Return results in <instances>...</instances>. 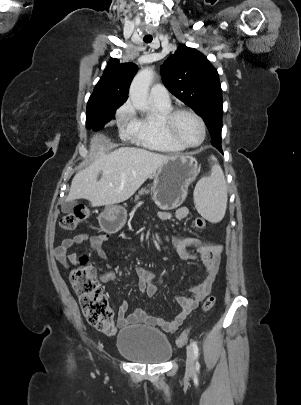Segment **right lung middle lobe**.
<instances>
[{
	"label": "right lung middle lobe",
	"instance_id": "obj_1",
	"mask_svg": "<svg viewBox=\"0 0 301 405\" xmlns=\"http://www.w3.org/2000/svg\"><path fill=\"white\" fill-rule=\"evenodd\" d=\"M117 108H109L99 103L87 105L86 127L88 129L99 130L106 123L115 118Z\"/></svg>",
	"mask_w": 301,
	"mask_h": 405
}]
</instances>
